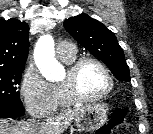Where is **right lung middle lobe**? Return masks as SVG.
<instances>
[{
    "instance_id": "obj_1",
    "label": "right lung middle lobe",
    "mask_w": 153,
    "mask_h": 134,
    "mask_svg": "<svg viewBox=\"0 0 153 134\" xmlns=\"http://www.w3.org/2000/svg\"><path fill=\"white\" fill-rule=\"evenodd\" d=\"M25 67L0 68V104L22 106L17 86Z\"/></svg>"
}]
</instances>
